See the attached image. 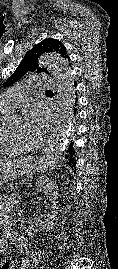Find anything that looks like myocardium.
Masks as SVG:
<instances>
[{
	"mask_svg": "<svg viewBox=\"0 0 118 269\" xmlns=\"http://www.w3.org/2000/svg\"><path fill=\"white\" fill-rule=\"evenodd\" d=\"M12 134H13L14 137L19 141V143L22 145V149L31 147V145H29V146L25 145V140H24L23 137L17 135L16 133H12Z\"/></svg>",
	"mask_w": 118,
	"mask_h": 269,
	"instance_id": "1",
	"label": "myocardium"
}]
</instances>
